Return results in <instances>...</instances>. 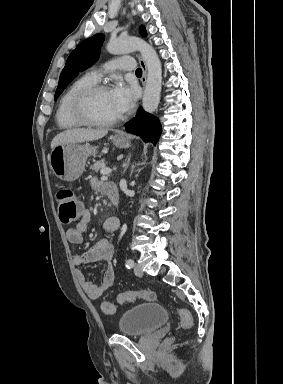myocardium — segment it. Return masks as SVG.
<instances>
[{
	"label": "myocardium",
	"instance_id": "obj_1",
	"mask_svg": "<svg viewBox=\"0 0 283 384\" xmlns=\"http://www.w3.org/2000/svg\"><path fill=\"white\" fill-rule=\"evenodd\" d=\"M108 89L105 84H92L81 90L73 99L70 107V116L78 125L87 128H110L120 122L121 116L106 122L96 121L85 114L88 101L99 91Z\"/></svg>",
	"mask_w": 283,
	"mask_h": 384
}]
</instances>
